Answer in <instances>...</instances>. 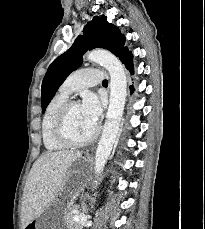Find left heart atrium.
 <instances>
[{"label":"left heart atrium","instance_id":"1","mask_svg":"<svg viewBox=\"0 0 205 229\" xmlns=\"http://www.w3.org/2000/svg\"><path fill=\"white\" fill-rule=\"evenodd\" d=\"M80 106L88 120L96 125L102 112L99 97L94 93H87L84 95Z\"/></svg>","mask_w":205,"mask_h":229}]
</instances>
